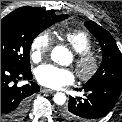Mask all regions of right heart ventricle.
I'll return each mask as SVG.
<instances>
[{
	"label": "right heart ventricle",
	"mask_w": 122,
	"mask_h": 122,
	"mask_svg": "<svg viewBox=\"0 0 122 122\" xmlns=\"http://www.w3.org/2000/svg\"><path fill=\"white\" fill-rule=\"evenodd\" d=\"M64 37L76 53L92 48V39L85 31H71L66 33Z\"/></svg>",
	"instance_id": "e07e8e85"
}]
</instances>
